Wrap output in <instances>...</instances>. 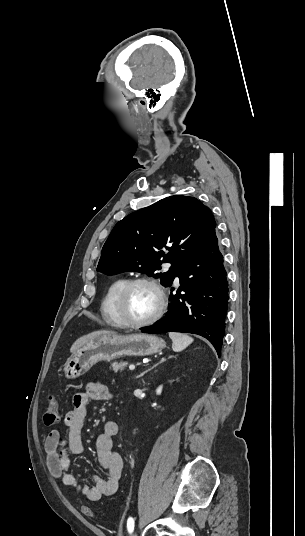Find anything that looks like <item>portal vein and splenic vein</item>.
I'll return each mask as SVG.
<instances>
[{"label":"portal vein and splenic vein","instance_id":"18ae733b","mask_svg":"<svg viewBox=\"0 0 305 536\" xmlns=\"http://www.w3.org/2000/svg\"><path fill=\"white\" fill-rule=\"evenodd\" d=\"M129 370H135V366H129Z\"/></svg>","mask_w":305,"mask_h":536}]
</instances>
